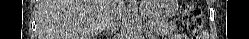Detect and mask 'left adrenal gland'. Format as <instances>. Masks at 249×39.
<instances>
[{"label":"left adrenal gland","instance_id":"left-adrenal-gland-1","mask_svg":"<svg viewBox=\"0 0 249 39\" xmlns=\"http://www.w3.org/2000/svg\"><path fill=\"white\" fill-rule=\"evenodd\" d=\"M146 33H147L148 35H150V33H149L148 31H147Z\"/></svg>","mask_w":249,"mask_h":39}]
</instances>
